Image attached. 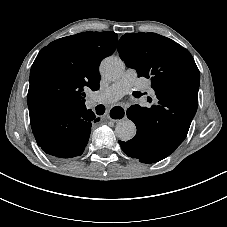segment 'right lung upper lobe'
I'll return each instance as SVG.
<instances>
[{"mask_svg": "<svg viewBox=\"0 0 227 227\" xmlns=\"http://www.w3.org/2000/svg\"><path fill=\"white\" fill-rule=\"evenodd\" d=\"M114 32H83L41 49L30 71L28 107L39 99L62 108L84 107V90L99 88V64L117 46Z\"/></svg>", "mask_w": 227, "mask_h": 227, "instance_id": "cb5924a9", "label": "right lung upper lobe"}]
</instances>
